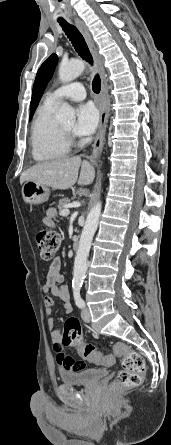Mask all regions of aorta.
<instances>
[{
  "label": "aorta",
  "instance_id": "1",
  "mask_svg": "<svg viewBox=\"0 0 171 445\" xmlns=\"http://www.w3.org/2000/svg\"><path fill=\"white\" fill-rule=\"evenodd\" d=\"M85 69L82 60L62 62L59 68V79L63 83H68L77 78ZM56 119L61 122H75V111L66 102L62 103ZM101 202H98L88 213L87 219L80 237L79 248L74 261L73 283L82 284L87 272V257L91 248L93 236L97 230L99 217L101 215Z\"/></svg>",
  "mask_w": 171,
  "mask_h": 445
}]
</instances>
